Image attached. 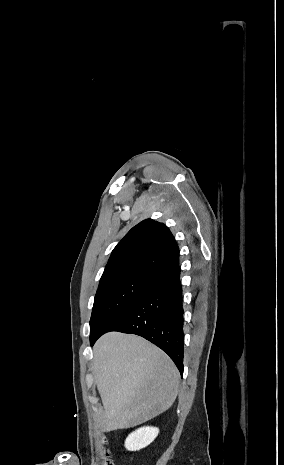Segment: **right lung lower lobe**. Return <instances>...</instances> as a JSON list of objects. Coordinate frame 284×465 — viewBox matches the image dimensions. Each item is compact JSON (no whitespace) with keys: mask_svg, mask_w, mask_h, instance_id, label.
<instances>
[{"mask_svg":"<svg viewBox=\"0 0 284 465\" xmlns=\"http://www.w3.org/2000/svg\"><path fill=\"white\" fill-rule=\"evenodd\" d=\"M180 267L154 279L134 301L90 340L91 346L106 332L119 331L144 337L165 351L183 374L184 332Z\"/></svg>","mask_w":284,"mask_h":465,"instance_id":"1","label":"right lung lower lobe"}]
</instances>
